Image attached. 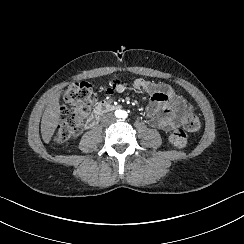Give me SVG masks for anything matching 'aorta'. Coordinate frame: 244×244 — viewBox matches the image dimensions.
I'll use <instances>...</instances> for the list:
<instances>
[{
  "label": "aorta",
  "instance_id": "aorta-1",
  "mask_svg": "<svg viewBox=\"0 0 244 244\" xmlns=\"http://www.w3.org/2000/svg\"><path fill=\"white\" fill-rule=\"evenodd\" d=\"M124 113H126V111H124V110H117L116 111V115H117V117H119V118H123V114ZM119 114V115H118Z\"/></svg>",
  "mask_w": 244,
  "mask_h": 244
}]
</instances>
